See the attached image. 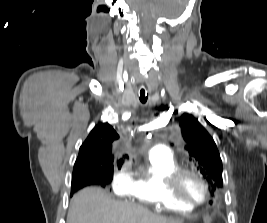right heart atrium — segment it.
Returning a JSON list of instances; mask_svg holds the SVG:
<instances>
[{
    "mask_svg": "<svg viewBox=\"0 0 267 223\" xmlns=\"http://www.w3.org/2000/svg\"><path fill=\"white\" fill-rule=\"evenodd\" d=\"M131 182L127 169L120 167L114 171L112 175L111 187L115 194L123 195L126 194Z\"/></svg>",
    "mask_w": 267,
    "mask_h": 223,
    "instance_id": "1",
    "label": "right heart atrium"
}]
</instances>
